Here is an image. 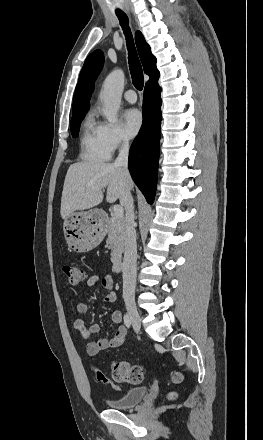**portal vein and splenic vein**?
<instances>
[{
    "instance_id": "18ae733b",
    "label": "portal vein and splenic vein",
    "mask_w": 263,
    "mask_h": 440,
    "mask_svg": "<svg viewBox=\"0 0 263 440\" xmlns=\"http://www.w3.org/2000/svg\"><path fill=\"white\" fill-rule=\"evenodd\" d=\"M113 212H114V215H115L116 217H123L124 210H123V207H122V206H120V205H114V206H113Z\"/></svg>"
}]
</instances>
